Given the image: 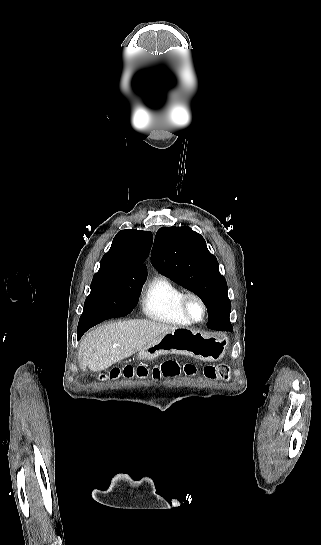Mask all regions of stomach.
<instances>
[{
    "mask_svg": "<svg viewBox=\"0 0 321 545\" xmlns=\"http://www.w3.org/2000/svg\"><path fill=\"white\" fill-rule=\"evenodd\" d=\"M230 339L226 333L207 337L192 329H175L157 337L146 345L138 355L140 361H153L160 355H188L200 361H220L229 349Z\"/></svg>",
    "mask_w": 321,
    "mask_h": 545,
    "instance_id": "stomach-1",
    "label": "stomach"
}]
</instances>
